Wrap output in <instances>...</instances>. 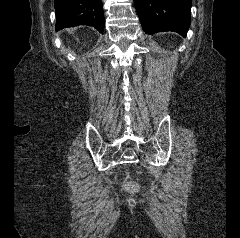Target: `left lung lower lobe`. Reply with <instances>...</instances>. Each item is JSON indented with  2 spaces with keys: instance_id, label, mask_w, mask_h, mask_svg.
Wrapping results in <instances>:
<instances>
[{
  "instance_id": "1",
  "label": "left lung lower lobe",
  "mask_w": 240,
  "mask_h": 238,
  "mask_svg": "<svg viewBox=\"0 0 240 238\" xmlns=\"http://www.w3.org/2000/svg\"><path fill=\"white\" fill-rule=\"evenodd\" d=\"M146 34L173 31L186 37L191 21V0H134Z\"/></svg>"
}]
</instances>
